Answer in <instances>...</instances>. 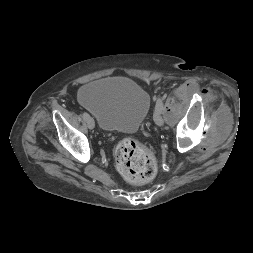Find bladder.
Listing matches in <instances>:
<instances>
[{
  "label": "bladder",
  "instance_id": "bladder-1",
  "mask_svg": "<svg viewBox=\"0 0 253 253\" xmlns=\"http://www.w3.org/2000/svg\"><path fill=\"white\" fill-rule=\"evenodd\" d=\"M80 104L93 113L107 132H133L147 116L151 98L137 82L124 77L104 78L82 86Z\"/></svg>",
  "mask_w": 253,
  "mask_h": 253
}]
</instances>
